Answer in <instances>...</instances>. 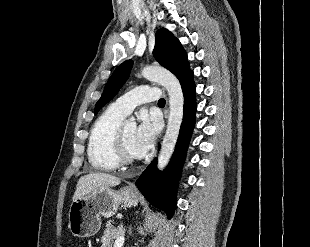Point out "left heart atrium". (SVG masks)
<instances>
[{
	"label": "left heart atrium",
	"mask_w": 310,
	"mask_h": 247,
	"mask_svg": "<svg viewBox=\"0 0 310 247\" xmlns=\"http://www.w3.org/2000/svg\"><path fill=\"white\" fill-rule=\"evenodd\" d=\"M158 130L157 118L154 115L142 114L133 142L135 157H143L149 152L154 145Z\"/></svg>",
	"instance_id": "obj_1"
}]
</instances>
